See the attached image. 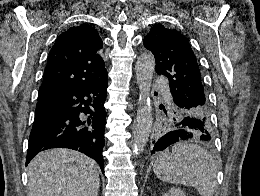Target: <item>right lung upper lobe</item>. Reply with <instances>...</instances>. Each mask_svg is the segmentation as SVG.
Returning <instances> with one entry per match:
<instances>
[{"label":"right lung upper lobe","instance_id":"obj_1","mask_svg":"<svg viewBox=\"0 0 260 196\" xmlns=\"http://www.w3.org/2000/svg\"><path fill=\"white\" fill-rule=\"evenodd\" d=\"M102 48L97 30L88 24L59 35L49 52L38 102L107 78Z\"/></svg>","mask_w":260,"mask_h":196}]
</instances>
